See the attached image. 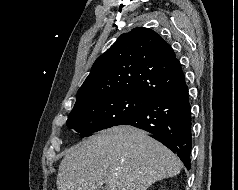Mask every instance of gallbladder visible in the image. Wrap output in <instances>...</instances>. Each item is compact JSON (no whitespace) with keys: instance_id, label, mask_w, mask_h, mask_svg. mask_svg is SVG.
Here are the masks:
<instances>
[{"instance_id":"gallbladder-1","label":"gallbladder","mask_w":238,"mask_h":190,"mask_svg":"<svg viewBox=\"0 0 238 190\" xmlns=\"http://www.w3.org/2000/svg\"><path fill=\"white\" fill-rule=\"evenodd\" d=\"M98 190H107V188H106L105 185H103V186H101Z\"/></svg>"}]
</instances>
